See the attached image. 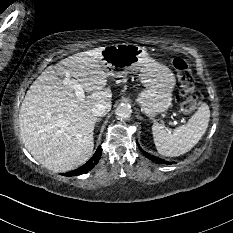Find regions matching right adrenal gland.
Here are the masks:
<instances>
[{"mask_svg": "<svg viewBox=\"0 0 233 233\" xmlns=\"http://www.w3.org/2000/svg\"><path fill=\"white\" fill-rule=\"evenodd\" d=\"M101 119H97V122H99Z\"/></svg>", "mask_w": 233, "mask_h": 233, "instance_id": "right-adrenal-gland-1", "label": "right adrenal gland"}]
</instances>
